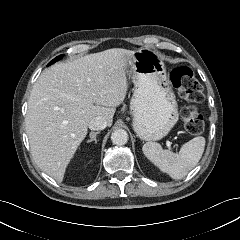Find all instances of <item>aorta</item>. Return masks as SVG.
<instances>
[{"label":"aorta","mask_w":240,"mask_h":240,"mask_svg":"<svg viewBox=\"0 0 240 240\" xmlns=\"http://www.w3.org/2000/svg\"><path fill=\"white\" fill-rule=\"evenodd\" d=\"M111 140L115 145H124L128 141V133L124 129H116L111 135Z\"/></svg>","instance_id":"obj_1"}]
</instances>
